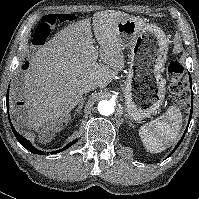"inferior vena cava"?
I'll use <instances>...</instances> for the list:
<instances>
[{"mask_svg": "<svg viewBox=\"0 0 199 199\" xmlns=\"http://www.w3.org/2000/svg\"><path fill=\"white\" fill-rule=\"evenodd\" d=\"M96 87H97V84L95 82H90L89 84L85 86L84 89H85V92H88V91L94 90Z\"/></svg>", "mask_w": 199, "mask_h": 199, "instance_id": "602c4592", "label": "inferior vena cava"}]
</instances>
